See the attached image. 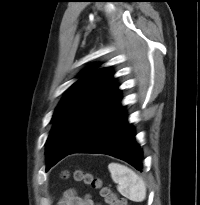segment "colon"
<instances>
[{
  "label": "colon",
  "mask_w": 200,
  "mask_h": 205,
  "mask_svg": "<svg viewBox=\"0 0 200 205\" xmlns=\"http://www.w3.org/2000/svg\"><path fill=\"white\" fill-rule=\"evenodd\" d=\"M67 176L68 173H64V177ZM73 176L75 180L81 181L92 186L93 188L98 189L106 205H127L125 199L119 197L110 186L104 185L102 179L93 173L78 169L74 171Z\"/></svg>",
  "instance_id": "colon-1"
}]
</instances>
